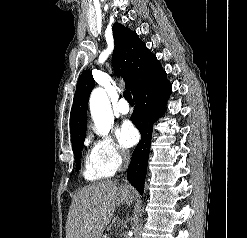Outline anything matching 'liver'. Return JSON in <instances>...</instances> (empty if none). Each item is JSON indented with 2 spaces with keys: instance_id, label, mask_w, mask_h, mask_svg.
I'll use <instances>...</instances> for the list:
<instances>
[{
  "instance_id": "obj_1",
  "label": "liver",
  "mask_w": 247,
  "mask_h": 238,
  "mask_svg": "<svg viewBox=\"0 0 247 238\" xmlns=\"http://www.w3.org/2000/svg\"><path fill=\"white\" fill-rule=\"evenodd\" d=\"M134 195L126 185L101 181L80 190L73 198L66 224V238H101L115 208L132 203Z\"/></svg>"
}]
</instances>
